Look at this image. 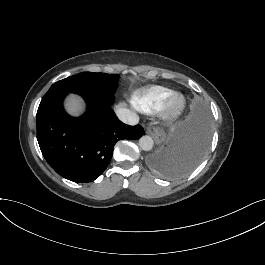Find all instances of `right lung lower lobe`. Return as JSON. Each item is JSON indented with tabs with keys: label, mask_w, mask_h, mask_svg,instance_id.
Instances as JSON below:
<instances>
[{
	"label": "right lung lower lobe",
	"mask_w": 265,
	"mask_h": 265,
	"mask_svg": "<svg viewBox=\"0 0 265 265\" xmlns=\"http://www.w3.org/2000/svg\"><path fill=\"white\" fill-rule=\"evenodd\" d=\"M66 94L43 97L37 111V140L58 174L74 182H91L107 168L116 142L137 140L144 129L122 123L109 104L85 98L86 113L71 117L62 105Z\"/></svg>",
	"instance_id": "obj_1"
}]
</instances>
